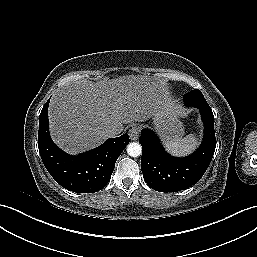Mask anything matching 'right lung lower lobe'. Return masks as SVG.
<instances>
[{
  "instance_id": "obj_1",
  "label": "right lung lower lobe",
  "mask_w": 257,
  "mask_h": 257,
  "mask_svg": "<svg viewBox=\"0 0 257 257\" xmlns=\"http://www.w3.org/2000/svg\"><path fill=\"white\" fill-rule=\"evenodd\" d=\"M48 104L39 117L38 148L41 159L55 181L69 191L94 193L110 180L115 162L129 143L128 134L109 138L99 147L78 156H72L52 141L48 128Z\"/></svg>"
}]
</instances>
